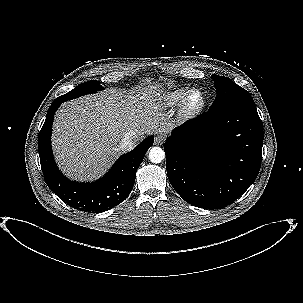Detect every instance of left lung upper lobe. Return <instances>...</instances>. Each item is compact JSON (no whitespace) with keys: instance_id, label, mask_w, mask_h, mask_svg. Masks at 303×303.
Masks as SVG:
<instances>
[{"instance_id":"left-lung-upper-lobe-1","label":"left lung upper lobe","mask_w":303,"mask_h":303,"mask_svg":"<svg viewBox=\"0 0 303 303\" xmlns=\"http://www.w3.org/2000/svg\"><path fill=\"white\" fill-rule=\"evenodd\" d=\"M211 77L215 83L217 95L209 111L255 106L250 93L231 79L219 75H212Z\"/></svg>"}]
</instances>
